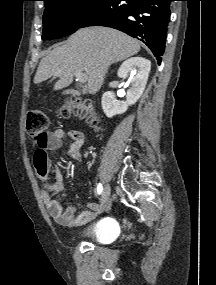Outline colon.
Returning a JSON list of instances; mask_svg holds the SVG:
<instances>
[{
	"label": "colon",
	"instance_id": "obj_1",
	"mask_svg": "<svg viewBox=\"0 0 216 285\" xmlns=\"http://www.w3.org/2000/svg\"><path fill=\"white\" fill-rule=\"evenodd\" d=\"M74 112H80L83 115L91 114V106L89 103H78L74 106H64L61 108V115L68 117ZM93 120V116L89 115ZM49 119L41 110H30L27 113L26 131L33 143L38 149H43L47 145L48 140Z\"/></svg>",
	"mask_w": 216,
	"mask_h": 285
}]
</instances>
